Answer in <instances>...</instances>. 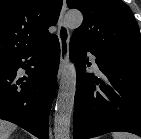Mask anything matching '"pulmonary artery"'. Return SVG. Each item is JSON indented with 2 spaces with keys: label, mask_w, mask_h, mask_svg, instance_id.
Listing matches in <instances>:
<instances>
[{
  "label": "pulmonary artery",
  "mask_w": 141,
  "mask_h": 139,
  "mask_svg": "<svg viewBox=\"0 0 141 139\" xmlns=\"http://www.w3.org/2000/svg\"><path fill=\"white\" fill-rule=\"evenodd\" d=\"M89 56H90V59H91L93 65H94V67L97 68V65H96V62H95V57L92 54H89Z\"/></svg>",
  "instance_id": "1"
}]
</instances>
